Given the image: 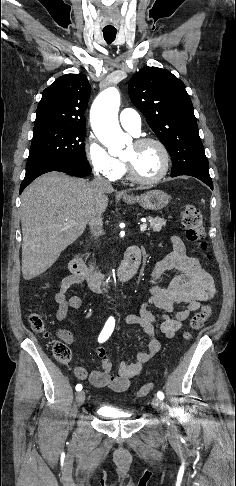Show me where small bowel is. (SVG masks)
<instances>
[{
  "mask_svg": "<svg viewBox=\"0 0 236 486\" xmlns=\"http://www.w3.org/2000/svg\"><path fill=\"white\" fill-rule=\"evenodd\" d=\"M172 251L159 260L150 276L149 297L141 304L137 314H129L124 320L128 324L140 326L149 337L148 350L137 352L132 362H121L118 371L113 374L112 361L106 350L99 347L96 354L100 360L101 368L88 374L85 367L77 365L75 376L80 380L88 379L98 388H108L114 392H123L130 386L131 380L139 376L143 365L147 363L160 350V342L156 338L155 327L167 337L172 338L180 330L184 321L191 313L198 310L203 302L215 295V285L212 276L202 267L197 258L186 253V248L178 236L171 237ZM169 270L178 274L167 287L157 285L161 275ZM82 284L74 275L62 278L54 299L58 305L55 317L58 321L66 319L70 309L81 306V299L76 295L68 296L73 286ZM152 305L163 311L162 314L152 313L148 307ZM59 337L70 343L73 336L69 331L60 330Z\"/></svg>",
  "mask_w": 236,
  "mask_h": 486,
  "instance_id": "obj_1",
  "label": "small bowel"
}]
</instances>
